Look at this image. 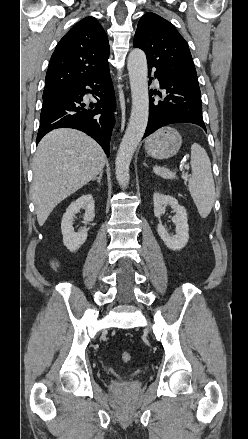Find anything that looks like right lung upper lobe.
<instances>
[{"label":"right lung upper lobe","mask_w":248,"mask_h":439,"mask_svg":"<svg viewBox=\"0 0 248 439\" xmlns=\"http://www.w3.org/2000/svg\"><path fill=\"white\" fill-rule=\"evenodd\" d=\"M107 35L94 17L74 25L59 41L46 74L43 98L57 94L108 67Z\"/></svg>","instance_id":"1"}]
</instances>
